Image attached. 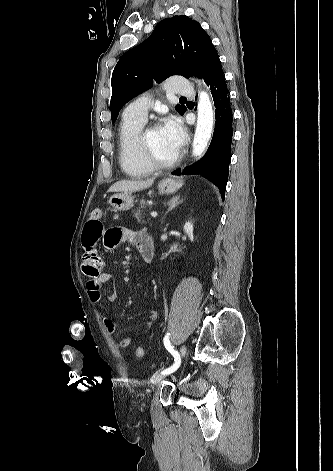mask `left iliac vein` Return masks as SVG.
I'll use <instances>...</instances> for the list:
<instances>
[{"mask_svg": "<svg viewBox=\"0 0 333 471\" xmlns=\"http://www.w3.org/2000/svg\"><path fill=\"white\" fill-rule=\"evenodd\" d=\"M180 355H181L182 358L185 357V355H186V347H185V345H183V346L180 348ZM169 374H171V373H169ZM169 374H157V375H155V376L153 377V379H152V384H153L154 386L160 384V383L162 382V380H163L166 376H168Z\"/></svg>", "mask_w": 333, "mask_h": 471, "instance_id": "obj_1", "label": "left iliac vein"}]
</instances>
